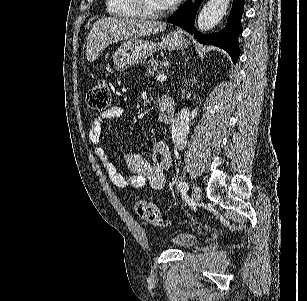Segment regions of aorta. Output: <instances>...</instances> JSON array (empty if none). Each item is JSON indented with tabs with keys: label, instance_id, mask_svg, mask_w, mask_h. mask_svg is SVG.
Masks as SVG:
<instances>
[{
	"label": "aorta",
	"instance_id": "obj_1",
	"mask_svg": "<svg viewBox=\"0 0 307 301\" xmlns=\"http://www.w3.org/2000/svg\"><path fill=\"white\" fill-rule=\"evenodd\" d=\"M229 0H208L199 12L197 24L199 30H211L220 20H222L228 8ZM191 112L188 106H184L178 112L177 118L172 122L170 128L172 138L176 144L187 142V136L190 128Z\"/></svg>",
	"mask_w": 307,
	"mask_h": 301
}]
</instances>
